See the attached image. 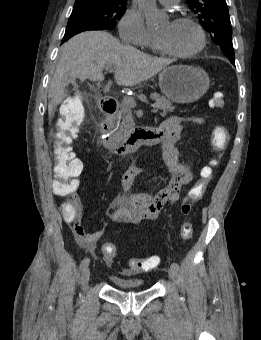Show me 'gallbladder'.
<instances>
[{
    "label": "gallbladder",
    "mask_w": 261,
    "mask_h": 340,
    "mask_svg": "<svg viewBox=\"0 0 261 340\" xmlns=\"http://www.w3.org/2000/svg\"><path fill=\"white\" fill-rule=\"evenodd\" d=\"M70 83L75 84V80H71Z\"/></svg>",
    "instance_id": "1"
}]
</instances>
